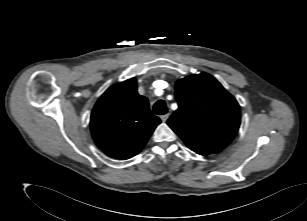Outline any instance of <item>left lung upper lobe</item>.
Masks as SVG:
<instances>
[{
  "label": "left lung upper lobe",
  "mask_w": 307,
  "mask_h": 221,
  "mask_svg": "<svg viewBox=\"0 0 307 221\" xmlns=\"http://www.w3.org/2000/svg\"><path fill=\"white\" fill-rule=\"evenodd\" d=\"M175 89L179 108L167 124L198 154L222 151L240 126V106L236 99L207 73L180 79Z\"/></svg>",
  "instance_id": "1"
}]
</instances>
